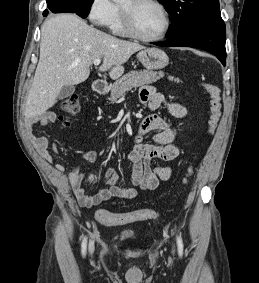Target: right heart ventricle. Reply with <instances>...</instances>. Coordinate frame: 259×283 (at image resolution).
I'll return each instance as SVG.
<instances>
[{
    "label": "right heart ventricle",
    "mask_w": 259,
    "mask_h": 283,
    "mask_svg": "<svg viewBox=\"0 0 259 283\" xmlns=\"http://www.w3.org/2000/svg\"><path fill=\"white\" fill-rule=\"evenodd\" d=\"M108 27L110 30L117 35L120 36H127V32L125 31V28L123 26L122 18H121V11H120V6L116 5L115 6V11L114 14L108 23Z\"/></svg>",
    "instance_id": "1"
}]
</instances>
